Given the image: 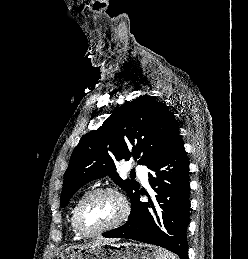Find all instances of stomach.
<instances>
[{
    "mask_svg": "<svg viewBox=\"0 0 248 259\" xmlns=\"http://www.w3.org/2000/svg\"><path fill=\"white\" fill-rule=\"evenodd\" d=\"M57 259H159V248L133 242L67 248Z\"/></svg>",
    "mask_w": 248,
    "mask_h": 259,
    "instance_id": "1",
    "label": "stomach"
}]
</instances>
